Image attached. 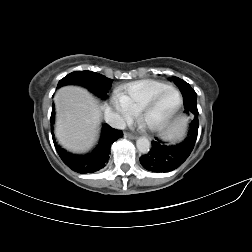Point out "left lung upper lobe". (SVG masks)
Wrapping results in <instances>:
<instances>
[{
  "label": "left lung upper lobe",
  "instance_id": "1",
  "mask_svg": "<svg viewBox=\"0 0 252 252\" xmlns=\"http://www.w3.org/2000/svg\"><path fill=\"white\" fill-rule=\"evenodd\" d=\"M173 81L175 82V84L177 86H179L180 84H184V85H189L188 83H186L184 80L178 78V77H173Z\"/></svg>",
  "mask_w": 252,
  "mask_h": 252
}]
</instances>
